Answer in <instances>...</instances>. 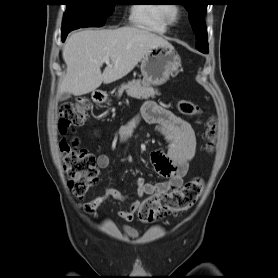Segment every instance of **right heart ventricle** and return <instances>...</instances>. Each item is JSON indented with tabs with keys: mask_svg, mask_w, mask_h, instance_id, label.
Here are the masks:
<instances>
[{
	"mask_svg": "<svg viewBox=\"0 0 278 278\" xmlns=\"http://www.w3.org/2000/svg\"><path fill=\"white\" fill-rule=\"evenodd\" d=\"M160 4H136L131 7L130 20L133 24L151 32L163 34L168 25L161 16Z\"/></svg>",
	"mask_w": 278,
	"mask_h": 278,
	"instance_id": "obj_1",
	"label": "right heart ventricle"
}]
</instances>
